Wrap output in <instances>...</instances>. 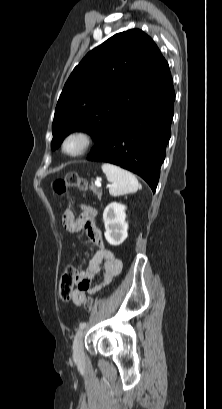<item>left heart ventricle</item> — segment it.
Segmentation results:
<instances>
[{"instance_id":"obj_1","label":"left heart ventricle","mask_w":222,"mask_h":409,"mask_svg":"<svg viewBox=\"0 0 222 409\" xmlns=\"http://www.w3.org/2000/svg\"><path fill=\"white\" fill-rule=\"evenodd\" d=\"M77 145H78V142H77V141H72V142L69 144V148H70V149H74V148L77 147Z\"/></svg>"}]
</instances>
